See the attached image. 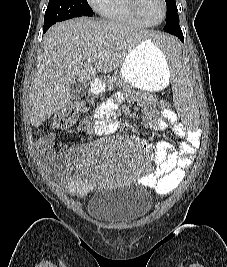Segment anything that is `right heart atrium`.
<instances>
[{
  "instance_id": "right-heart-atrium-1",
  "label": "right heart atrium",
  "mask_w": 227,
  "mask_h": 267,
  "mask_svg": "<svg viewBox=\"0 0 227 267\" xmlns=\"http://www.w3.org/2000/svg\"><path fill=\"white\" fill-rule=\"evenodd\" d=\"M88 2L94 9H97L103 0H88Z\"/></svg>"
}]
</instances>
